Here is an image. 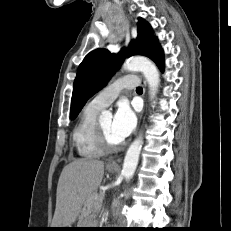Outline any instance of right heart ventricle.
Masks as SVG:
<instances>
[{
    "instance_id": "1",
    "label": "right heart ventricle",
    "mask_w": 231,
    "mask_h": 231,
    "mask_svg": "<svg viewBox=\"0 0 231 231\" xmlns=\"http://www.w3.org/2000/svg\"><path fill=\"white\" fill-rule=\"evenodd\" d=\"M99 111L88 104L73 130V144L78 155L85 159L99 158L104 154L96 141V118Z\"/></svg>"
}]
</instances>
